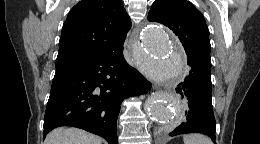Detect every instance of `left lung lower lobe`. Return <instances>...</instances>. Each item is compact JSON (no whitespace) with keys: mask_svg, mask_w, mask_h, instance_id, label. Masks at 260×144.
<instances>
[{"mask_svg":"<svg viewBox=\"0 0 260 144\" xmlns=\"http://www.w3.org/2000/svg\"><path fill=\"white\" fill-rule=\"evenodd\" d=\"M191 70L176 92L184 102L185 114L181 123L169 133L171 136L186 133H203L215 143V117L212 108L211 66L197 60H188Z\"/></svg>","mask_w":260,"mask_h":144,"instance_id":"0a47b994","label":"left lung lower lobe"}]
</instances>
